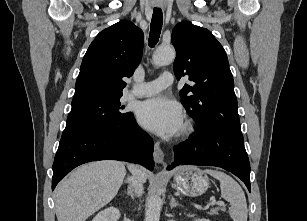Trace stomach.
<instances>
[{
  "label": "stomach",
  "mask_w": 307,
  "mask_h": 221,
  "mask_svg": "<svg viewBox=\"0 0 307 221\" xmlns=\"http://www.w3.org/2000/svg\"><path fill=\"white\" fill-rule=\"evenodd\" d=\"M174 187L184 195L196 197L204 194L210 186L205 171L194 166H182L174 174Z\"/></svg>",
  "instance_id": "stomach-1"
}]
</instances>
